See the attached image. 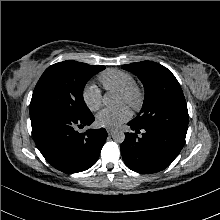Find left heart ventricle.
<instances>
[{
	"mask_svg": "<svg viewBox=\"0 0 220 220\" xmlns=\"http://www.w3.org/2000/svg\"><path fill=\"white\" fill-rule=\"evenodd\" d=\"M123 103H125L124 98L121 95H119L118 96V104H123Z\"/></svg>",
	"mask_w": 220,
	"mask_h": 220,
	"instance_id": "b2bd125f",
	"label": "left heart ventricle"
}]
</instances>
